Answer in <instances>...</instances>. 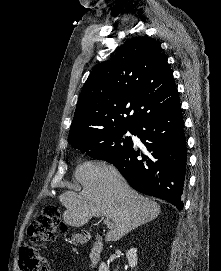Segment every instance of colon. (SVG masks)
Listing matches in <instances>:
<instances>
[{
	"label": "colon",
	"instance_id": "1",
	"mask_svg": "<svg viewBox=\"0 0 221 271\" xmlns=\"http://www.w3.org/2000/svg\"><path fill=\"white\" fill-rule=\"evenodd\" d=\"M60 213L56 206L44 207L42 213L32 222L29 230L32 243L50 242L55 239L60 225ZM20 271H49L45 256L31 244H23L19 248Z\"/></svg>",
	"mask_w": 221,
	"mask_h": 271
}]
</instances>
